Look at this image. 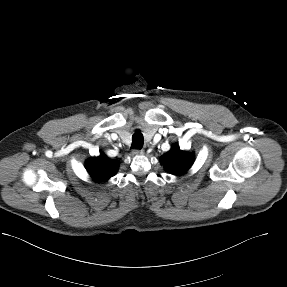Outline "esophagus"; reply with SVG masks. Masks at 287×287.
<instances>
[{
    "mask_svg": "<svg viewBox=\"0 0 287 287\" xmlns=\"http://www.w3.org/2000/svg\"><path fill=\"white\" fill-rule=\"evenodd\" d=\"M143 154V150L141 149H134L132 151V155L138 156V155H142Z\"/></svg>",
    "mask_w": 287,
    "mask_h": 287,
    "instance_id": "1",
    "label": "esophagus"
}]
</instances>
